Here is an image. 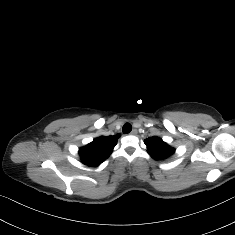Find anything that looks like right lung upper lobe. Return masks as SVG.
<instances>
[{"mask_svg": "<svg viewBox=\"0 0 235 235\" xmlns=\"http://www.w3.org/2000/svg\"><path fill=\"white\" fill-rule=\"evenodd\" d=\"M119 134L114 136H101L94 139L88 145L79 149V155L84 164L92 167L100 165L109 157L117 144Z\"/></svg>", "mask_w": 235, "mask_h": 235, "instance_id": "1", "label": "right lung upper lobe"}]
</instances>
